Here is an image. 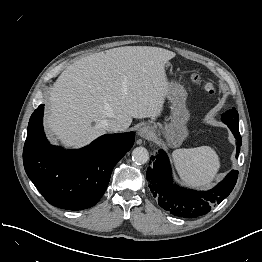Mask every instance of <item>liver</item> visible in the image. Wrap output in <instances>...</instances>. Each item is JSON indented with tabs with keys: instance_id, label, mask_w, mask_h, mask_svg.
Returning <instances> with one entry per match:
<instances>
[{
	"instance_id": "obj_1",
	"label": "liver",
	"mask_w": 262,
	"mask_h": 262,
	"mask_svg": "<svg viewBox=\"0 0 262 262\" xmlns=\"http://www.w3.org/2000/svg\"><path fill=\"white\" fill-rule=\"evenodd\" d=\"M175 53L150 46L109 49L77 60L50 90L46 125L67 146H82L118 120L156 118L167 97L165 64Z\"/></svg>"
}]
</instances>
